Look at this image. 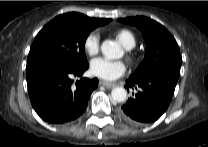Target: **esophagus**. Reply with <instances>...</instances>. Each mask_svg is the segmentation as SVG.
Here are the masks:
<instances>
[{
    "label": "esophagus",
    "mask_w": 208,
    "mask_h": 147,
    "mask_svg": "<svg viewBox=\"0 0 208 147\" xmlns=\"http://www.w3.org/2000/svg\"><path fill=\"white\" fill-rule=\"evenodd\" d=\"M100 84L107 87V88H113L117 85L116 83H112V82H108V81H104V80H101Z\"/></svg>",
    "instance_id": "1"
}]
</instances>
